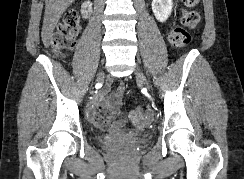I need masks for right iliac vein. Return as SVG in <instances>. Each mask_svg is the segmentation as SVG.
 <instances>
[{
	"label": "right iliac vein",
	"instance_id": "1",
	"mask_svg": "<svg viewBox=\"0 0 244 179\" xmlns=\"http://www.w3.org/2000/svg\"><path fill=\"white\" fill-rule=\"evenodd\" d=\"M101 76H103V72H101V74H100Z\"/></svg>",
	"mask_w": 244,
	"mask_h": 179
}]
</instances>
